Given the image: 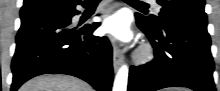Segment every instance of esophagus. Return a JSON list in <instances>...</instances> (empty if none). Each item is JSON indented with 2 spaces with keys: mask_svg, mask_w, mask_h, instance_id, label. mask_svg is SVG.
<instances>
[{
  "mask_svg": "<svg viewBox=\"0 0 220 91\" xmlns=\"http://www.w3.org/2000/svg\"><path fill=\"white\" fill-rule=\"evenodd\" d=\"M123 62V54L121 52V50L118 48L117 45H114L113 47V67L114 70L117 71L119 66L122 64Z\"/></svg>",
  "mask_w": 220,
  "mask_h": 91,
  "instance_id": "esophagus-1",
  "label": "esophagus"
}]
</instances>
